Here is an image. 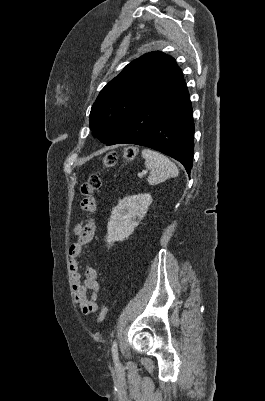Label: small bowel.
Wrapping results in <instances>:
<instances>
[{
  "label": "small bowel",
  "instance_id": "obj_1",
  "mask_svg": "<svg viewBox=\"0 0 265 401\" xmlns=\"http://www.w3.org/2000/svg\"><path fill=\"white\" fill-rule=\"evenodd\" d=\"M80 208L82 211L93 215L98 208L97 201L93 197L86 198L82 200ZM95 229L94 217H90L86 223L77 222L73 227L77 241L69 248L73 296L78 309L85 315L92 314L98 309L97 298L100 293V284L98 282V271L94 267H87L82 279L78 258L82 253L83 247L94 238ZM88 291L90 292V297L87 295Z\"/></svg>",
  "mask_w": 265,
  "mask_h": 401
}]
</instances>
